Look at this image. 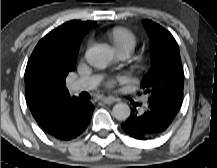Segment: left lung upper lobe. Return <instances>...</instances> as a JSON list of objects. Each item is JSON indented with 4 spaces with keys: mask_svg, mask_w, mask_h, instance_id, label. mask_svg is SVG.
I'll list each match as a JSON object with an SVG mask.
<instances>
[{
    "mask_svg": "<svg viewBox=\"0 0 217 168\" xmlns=\"http://www.w3.org/2000/svg\"><path fill=\"white\" fill-rule=\"evenodd\" d=\"M143 24L150 38L153 63L142 86L150 92L149 101L177 111L184 83L179 46L171 33L160 25L149 20Z\"/></svg>",
    "mask_w": 217,
    "mask_h": 168,
    "instance_id": "5c2ea615",
    "label": "left lung upper lobe"
}]
</instances>
